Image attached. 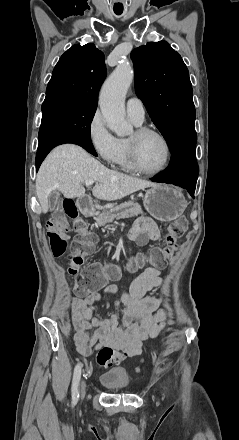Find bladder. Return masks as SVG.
Returning a JSON list of instances; mask_svg holds the SVG:
<instances>
[{"mask_svg":"<svg viewBox=\"0 0 239 440\" xmlns=\"http://www.w3.org/2000/svg\"><path fill=\"white\" fill-rule=\"evenodd\" d=\"M101 384L108 390L122 391L129 387L130 378L124 369H112L100 376Z\"/></svg>","mask_w":239,"mask_h":440,"instance_id":"bladder-1","label":"bladder"}]
</instances>
